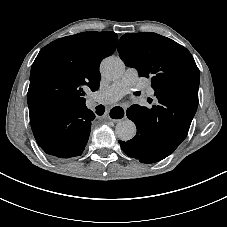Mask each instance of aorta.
<instances>
[{
  "mask_svg": "<svg viewBox=\"0 0 227 227\" xmlns=\"http://www.w3.org/2000/svg\"><path fill=\"white\" fill-rule=\"evenodd\" d=\"M124 62L116 56H109L102 60L100 72L108 80L120 78L124 72ZM116 134L122 141L131 140L136 134V126L131 120H121L115 128Z\"/></svg>",
  "mask_w": 227,
  "mask_h": 227,
  "instance_id": "aorta-1",
  "label": "aorta"
}]
</instances>
